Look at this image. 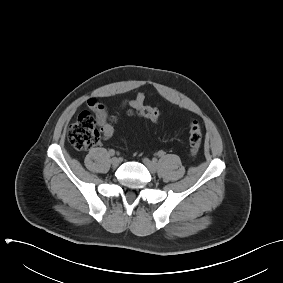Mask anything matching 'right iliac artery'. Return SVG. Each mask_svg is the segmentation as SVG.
<instances>
[{
  "label": "right iliac artery",
  "mask_w": 283,
  "mask_h": 283,
  "mask_svg": "<svg viewBox=\"0 0 283 283\" xmlns=\"http://www.w3.org/2000/svg\"><path fill=\"white\" fill-rule=\"evenodd\" d=\"M109 155H110V156H114V155H115V151H114L113 149H110V150H109Z\"/></svg>",
  "instance_id": "82829eb1"
}]
</instances>
